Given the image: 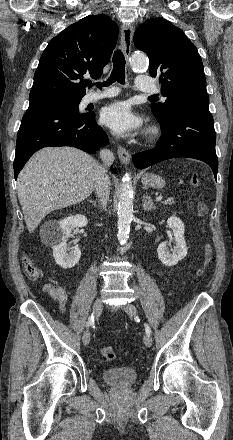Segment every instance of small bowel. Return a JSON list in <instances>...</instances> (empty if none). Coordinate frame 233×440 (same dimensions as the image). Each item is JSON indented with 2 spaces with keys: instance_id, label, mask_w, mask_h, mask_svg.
Returning <instances> with one entry per match:
<instances>
[{
  "instance_id": "c3829d8e",
  "label": "small bowel",
  "mask_w": 233,
  "mask_h": 440,
  "mask_svg": "<svg viewBox=\"0 0 233 440\" xmlns=\"http://www.w3.org/2000/svg\"><path fill=\"white\" fill-rule=\"evenodd\" d=\"M43 293L48 295L53 301L57 302L61 312L65 311V305L68 299L66 290L61 286L45 284L42 287Z\"/></svg>"
}]
</instances>
